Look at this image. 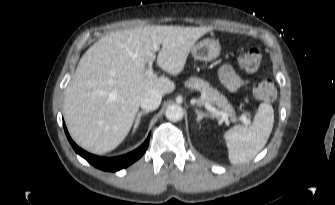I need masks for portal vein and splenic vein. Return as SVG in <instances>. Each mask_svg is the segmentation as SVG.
<instances>
[{
  "label": "portal vein and splenic vein",
  "instance_id": "portal-vein-and-splenic-vein-1",
  "mask_svg": "<svg viewBox=\"0 0 335 205\" xmlns=\"http://www.w3.org/2000/svg\"><path fill=\"white\" fill-rule=\"evenodd\" d=\"M157 50L159 49L158 47L156 48ZM145 74L148 77H152L154 75V70L150 67L146 70ZM205 108L210 111L212 114L216 115V116H221L222 120L226 123L229 124L228 121V114L220 111L218 109H216L215 107H213L210 103H205L204 104ZM239 120L242 121L245 125H249L251 123L250 119L247 117L246 114H243L239 117Z\"/></svg>",
  "mask_w": 335,
  "mask_h": 205
}]
</instances>
